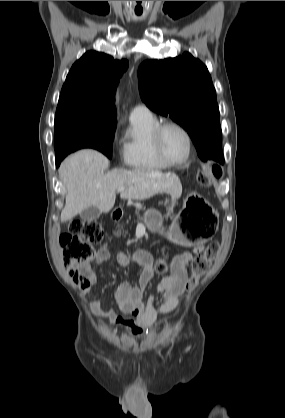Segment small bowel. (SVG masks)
Returning <instances> with one entry per match:
<instances>
[{"label": "small bowel", "mask_w": 285, "mask_h": 418, "mask_svg": "<svg viewBox=\"0 0 285 418\" xmlns=\"http://www.w3.org/2000/svg\"><path fill=\"white\" fill-rule=\"evenodd\" d=\"M201 250L195 248L192 252H184L176 255L171 262V273L164 277L156 286L147 301L143 300V293L146 286L155 274V266L152 256L147 252H138L133 257L125 253L117 254V263L120 267H129L132 264L142 268L139 276L138 285L132 286L129 282L119 285L115 300L123 316H118L113 312L109 313L112 324L128 327L134 337H140L148 330H151L156 317L167 314L175 310L179 304L180 296L186 286V271L190 266L194 254ZM110 257L107 248L99 249L94 257L96 264L105 263ZM92 281L94 277L91 276ZM161 297L163 303L156 306V301Z\"/></svg>", "instance_id": "1"}]
</instances>
